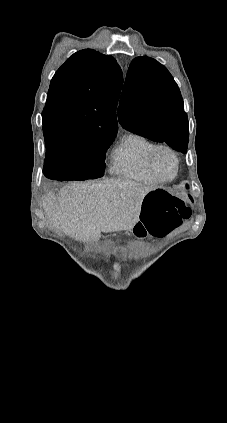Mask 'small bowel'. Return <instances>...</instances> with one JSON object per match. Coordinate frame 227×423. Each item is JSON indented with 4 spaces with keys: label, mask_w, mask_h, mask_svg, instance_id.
<instances>
[{
    "label": "small bowel",
    "mask_w": 227,
    "mask_h": 423,
    "mask_svg": "<svg viewBox=\"0 0 227 423\" xmlns=\"http://www.w3.org/2000/svg\"><path fill=\"white\" fill-rule=\"evenodd\" d=\"M135 232L138 236H141V237L151 234L149 230L147 229L146 225L143 222H141V220L136 224Z\"/></svg>",
    "instance_id": "c3829d8e"
}]
</instances>
